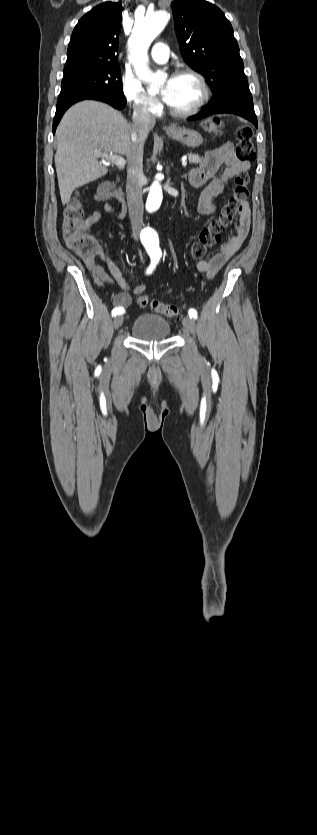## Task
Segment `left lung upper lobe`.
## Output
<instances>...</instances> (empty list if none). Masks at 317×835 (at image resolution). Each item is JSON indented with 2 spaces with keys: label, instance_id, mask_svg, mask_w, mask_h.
<instances>
[{
  "label": "left lung upper lobe",
  "instance_id": "obj_1",
  "mask_svg": "<svg viewBox=\"0 0 317 835\" xmlns=\"http://www.w3.org/2000/svg\"><path fill=\"white\" fill-rule=\"evenodd\" d=\"M181 55L213 91L211 105L241 97L252 100L239 46L223 12L204 0L171 4Z\"/></svg>",
  "mask_w": 317,
  "mask_h": 835
}]
</instances>
